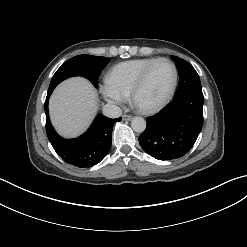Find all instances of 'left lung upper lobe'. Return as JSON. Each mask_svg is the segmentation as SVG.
Masks as SVG:
<instances>
[{"mask_svg": "<svg viewBox=\"0 0 247 247\" xmlns=\"http://www.w3.org/2000/svg\"><path fill=\"white\" fill-rule=\"evenodd\" d=\"M172 58L176 61L179 72L177 91L186 88L201 87L199 76L192 65L179 57L172 56Z\"/></svg>", "mask_w": 247, "mask_h": 247, "instance_id": "obj_1", "label": "left lung upper lobe"}]
</instances>
